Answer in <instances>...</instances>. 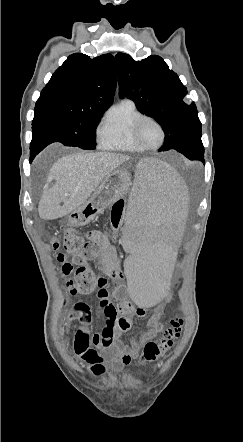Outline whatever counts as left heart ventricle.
<instances>
[{
    "mask_svg": "<svg viewBox=\"0 0 243 442\" xmlns=\"http://www.w3.org/2000/svg\"><path fill=\"white\" fill-rule=\"evenodd\" d=\"M139 136L144 144L155 146L161 139V132L154 122L146 121L140 127Z\"/></svg>",
    "mask_w": 243,
    "mask_h": 442,
    "instance_id": "obj_1",
    "label": "left heart ventricle"
}]
</instances>
